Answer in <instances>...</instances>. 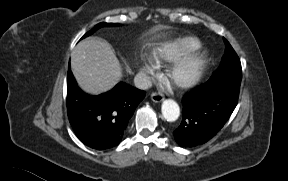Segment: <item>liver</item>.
I'll list each match as a JSON object with an SVG mask.
<instances>
[{
	"instance_id": "liver-1",
	"label": "liver",
	"mask_w": 288,
	"mask_h": 181,
	"mask_svg": "<svg viewBox=\"0 0 288 181\" xmlns=\"http://www.w3.org/2000/svg\"><path fill=\"white\" fill-rule=\"evenodd\" d=\"M71 69L79 86L87 93L111 89L122 77V69L107 42L96 38L80 41L71 53Z\"/></svg>"
}]
</instances>
